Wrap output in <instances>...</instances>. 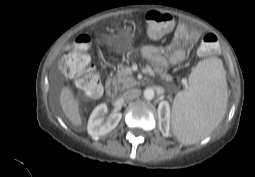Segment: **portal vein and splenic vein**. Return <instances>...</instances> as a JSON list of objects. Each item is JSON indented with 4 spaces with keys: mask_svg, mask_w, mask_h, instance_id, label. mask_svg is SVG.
Listing matches in <instances>:
<instances>
[{
    "mask_svg": "<svg viewBox=\"0 0 255 177\" xmlns=\"http://www.w3.org/2000/svg\"><path fill=\"white\" fill-rule=\"evenodd\" d=\"M147 70H148V72H149L151 75L154 76V72H153V70L151 69L150 66H147Z\"/></svg>",
    "mask_w": 255,
    "mask_h": 177,
    "instance_id": "portal-vein-and-splenic-vein-1",
    "label": "portal vein and splenic vein"
}]
</instances>
